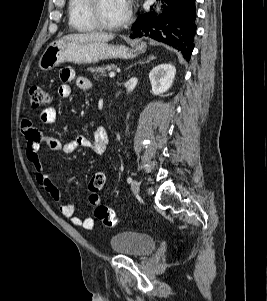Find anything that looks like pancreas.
I'll return each instance as SVG.
<instances>
[{
    "label": "pancreas",
    "mask_w": 267,
    "mask_h": 301,
    "mask_svg": "<svg viewBox=\"0 0 267 301\" xmlns=\"http://www.w3.org/2000/svg\"><path fill=\"white\" fill-rule=\"evenodd\" d=\"M116 68V65L114 64H108V65H103V66H98L96 68H90V71L94 73V78L99 80L100 77L105 75L106 70H111Z\"/></svg>",
    "instance_id": "cf45deb5"
}]
</instances>
